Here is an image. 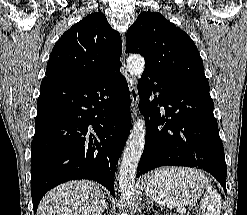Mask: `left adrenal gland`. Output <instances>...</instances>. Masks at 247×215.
Here are the masks:
<instances>
[{
  "instance_id": "obj_1",
  "label": "left adrenal gland",
  "mask_w": 247,
  "mask_h": 215,
  "mask_svg": "<svg viewBox=\"0 0 247 215\" xmlns=\"http://www.w3.org/2000/svg\"><path fill=\"white\" fill-rule=\"evenodd\" d=\"M146 201L147 203H151L148 197H146Z\"/></svg>"
}]
</instances>
